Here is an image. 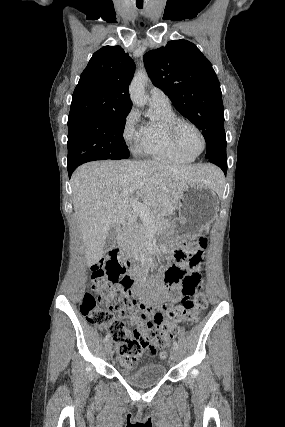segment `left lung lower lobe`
I'll return each instance as SVG.
<instances>
[{"instance_id": "obj_1", "label": "left lung lower lobe", "mask_w": 285, "mask_h": 427, "mask_svg": "<svg viewBox=\"0 0 285 427\" xmlns=\"http://www.w3.org/2000/svg\"><path fill=\"white\" fill-rule=\"evenodd\" d=\"M209 162L219 166L223 172H227V157H226V148L222 151H215L208 159Z\"/></svg>"}]
</instances>
